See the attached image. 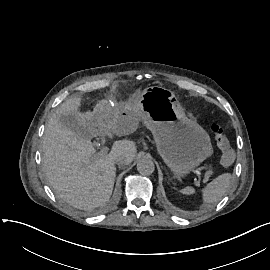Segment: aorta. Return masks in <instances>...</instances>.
Returning <instances> with one entry per match:
<instances>
[{
  "label": "aorta",
  "instance_id": "762f6f07",
  "mask_svg": "<svg viewBox=\"0 0 270 270\" xmlns=\"http://www.w3.org/2000/svg\"><path fill=\"white\" fill-rule=\"evenodd\" d=\"M137 170L142 175H151L155 171L154 162L149 158H141L137 163Z\"/></svg>",
  "mask_w": 270,
  "mask_h": 270
}]
</instances>
